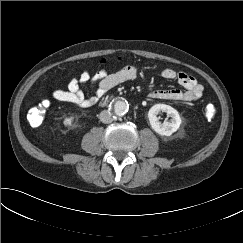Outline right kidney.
Returning a JSON list of instances; mask_svg holds the SVG:
<instances>
[{"label": "right kidney", "instance_id": "obj_1", "mask_svg": "<svg viewBox=\"0 0 243 243\" xmlns=\"http://www.w3.org/2000/svg\"><path fill=\"white\" fill-rule=\"evenodd\" d=\"M73 120H74L73 116L67 117V118L64 119L63 123H64L65 126L69 127V126L72 125Z\"/></svg>", "mask_w": 243, "mask_h": 243}]
</instances>
